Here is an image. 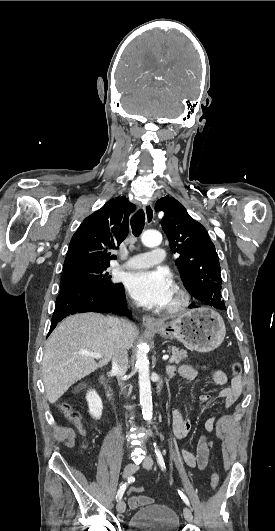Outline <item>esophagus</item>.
Masks as SVG:
<instances>
[{"label": "esophagus", "mask_w": 275, "mask_h": 531, "mask_svg": "<svg viewBox=\"0 0 275 531\" xmlns=\"http://www.w3.org/2000/svg\"><path fill=\"white\" fill-rule=\"evenodd\" d=\"M144 212H145L146 223L151 224L154 220V208L151 203H147L144 206ZM142 323L146 328H157L159 326L158 322H156L150 316H146V315L143 316Z\"/></svg>", "instance_id": "34e87169"}]
</instances>
